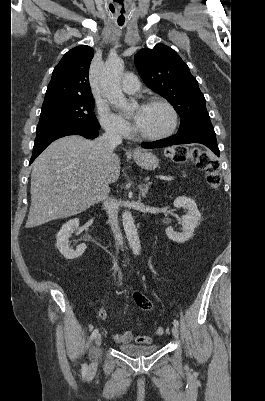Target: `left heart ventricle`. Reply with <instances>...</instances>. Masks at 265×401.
<instances>
[{
	"instance_id": "b2bd125f",
	"label": "left heart ventricle",
	"mask_w": 265,
	"mask_h": 401,
	"mask_svg": "<svg viewBox=\"0 0 265 401\" xmlns=\"http://www.w3.org/2000/svg\"><path fill=\"white\" fill-rule=\"evenodd\" d=\"M141 112L136 119L139 135H153L163 130L170 121V114L161 105L143 106L137 112Z\"/></svg>"
}]
</instances>
